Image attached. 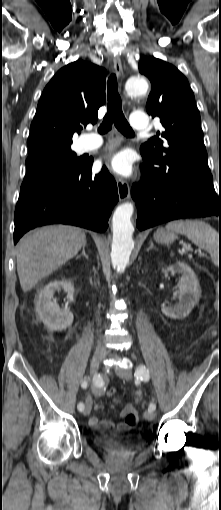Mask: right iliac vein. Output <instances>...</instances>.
<instances>
[{
	"label": "right iliac vein",
	"mask_w": 221,
	"mask_h": 510,
	"mask_svg": "<svg viewBox=\"0 0 221 510\" xmlns=\"http://www.w3.org/2000/svg\"><path fill=\"white\" fill-rule=\"evenodd\" d=\"M105 353L95 352L90 361V372L95 375L99 369L100 362L104 359ZM92 409V399L88 397L85 403L84 415H89Z\"/></svg>",
	"instance_id": "63e3f726"
}]
</instances>
